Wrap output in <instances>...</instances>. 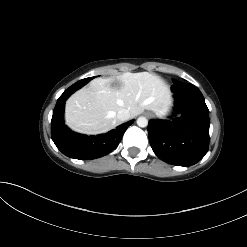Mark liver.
I'll return each instance as SVG.
<instances>
[{
  "instance_id": "6515ba94",
  "label": "liver",
  "mask_w": 247,
  "mask_h": 247,
  "mask_svg": "<svg viewBox=\"0 0 247 247\" xmlns=\"http://www.w3.org/2000/svg\"><path fill=\"white\" fill-rule=\"evenodd\" d=\"M172 104L168 85L148 72L130 73L109 78H95L75 92L66 102V124L74 131L97 135L121 124L117 113L127 109L130 117L151 110L165 116Z\"/></svg>"
}]
</instances>
